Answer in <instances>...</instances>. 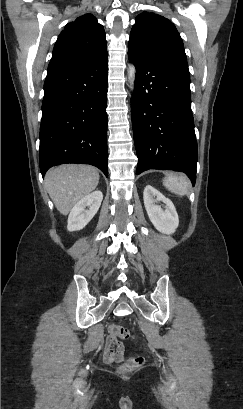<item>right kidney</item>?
<instances>
[{
	"label": "right kidney",
	"mask_w": 243,
	"mask_h": 409,
	"mask_svg": "<svg viewBox=\"0 0 243 409\" xmlns=\"http://www.w3.org/2000/svg\"><path fill=\"white\" fill-rule=\"evenodd\" d=\"M103 199L100 190L94 191L83 197L71 210L68 216V231L83 229L99 210ZM88 207V209H86Z\"/></svg>",
	"instance_id": "obj_1"
}]
</instances>
